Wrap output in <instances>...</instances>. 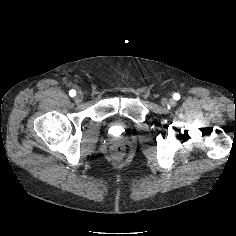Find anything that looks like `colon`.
I'll list each match as a JSON object with an SVG mask.
<instances>
[{
	"mask_svg": "<svg viewBox=\"0 0 236 236\" xmlns=\"http://www.w3.org/2000/svg\"><path fill=\"white\" fill-rule=\"evenodd\" d=\"M112 149H113V154L115 157L120 158L122 156L123 154L122 146L115 144Z\"/></svg>",
	"mask_w": 236,
	"mask_h": 236,
	"instance_id": "5ec220e1",
	"label": "colon"
}]
</instances>
